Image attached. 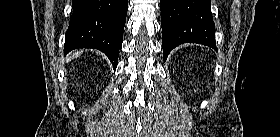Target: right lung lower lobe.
<instances>
[{
	"label": "right lung lower lobe",
	"instance_id": "98d812e1",
	"mask_svg": "<svg viewBox=\"0 0 280 137\" xmlns=\"http://www.w3.org/2000/svg\"><path fill=\"white\" fill-rule=\"evenodd\" d=\"M65 37V54L93 48L105 53L116 69L123 41L128 0H73Z\"/></svg>",
	"mask_w": 280,
	"mask_h": 137
}]
</instances>
